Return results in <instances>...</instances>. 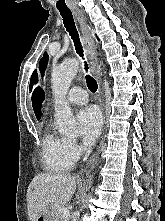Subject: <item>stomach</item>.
<instances>
[{"mask_svg":"<svg viewBox=\"0 0 165 221\" xmlns=\"http://www.w3.org/2000/svg\"><path fill=\"white\" fill-rule=\"evenodd\" d=\"M54 210V207L47 208L38 216L36 221H53Z\"/></svg>","mask_w":165,"mask_h":221,"instance_id":"stomach-1","label":"stomach"}]
</instances>
